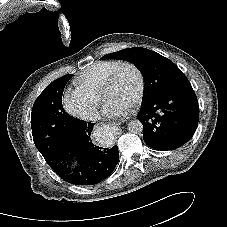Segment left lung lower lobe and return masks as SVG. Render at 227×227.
Returning <instances> with one entry per match:
<instances>
[{
  "instance_id": "1",
  "label": "left lung lower lobe",
  "mask_w": 227,
  "mask_h": 227,
  "mask_svg": "<svg viewBox=\"0 0 227 227\" xmlns=\"http://www.w3.org/2000/svg\"><path fill=\"white\" fill-rule=\"evenodd\" d=\"M142 123L143 140L156 150L184 145L194 135L199 106L192 87L177 89L146 101L137 116Z\"/></svg>"
}]
</instances>
